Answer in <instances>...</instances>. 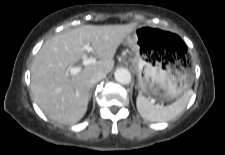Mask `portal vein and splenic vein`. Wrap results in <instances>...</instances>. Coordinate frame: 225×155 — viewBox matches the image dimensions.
I'll list each match as a JSON object with an SVG mask.
<instances>
[{
  "label": "portal vein and splenic vein",
  "mask_w": 225,
  "mask_h": 155,
  "mask_svg": "<svg viewBox=\"0 0 225 155\" xmlns=\"http://www.w3.org/2000/svg\"><path fill=\"white\" fill-rule=\"evenodd\" d=\"M83 49L86 50L87 52H94V49L89 44H84ZM95 62H96V58H86V57H84L82 63H83L84 66H86V65H89V64H93ZM80 70H81L80 67H69L68 68V71L71 75H75V74L79 73Z\"/></svg>",
  "instance_id": "18ae733b"
}]
</instances>
